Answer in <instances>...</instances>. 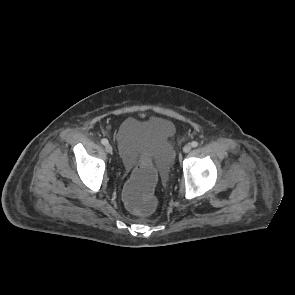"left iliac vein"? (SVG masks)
<instances>
[{"label":"left iliac vein","mask_w":295,"mask_h":295,"mask_svg":"<svg viewBox=\"0 0 295 295\" xmlns=\"http://www.w3.org/2000/svg\"><path fill=\"white\" fill-rule=\"evenodd\" d=\"M190 150H191V146H190V145H185V146L183 147V152H184V153H188V152H190Z\"/></svg>","instance_id":"obj_1"}]
</instances>
